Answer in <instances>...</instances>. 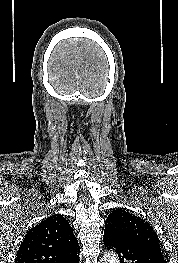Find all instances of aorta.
<instances>
[{
	"label": "aorta",
	"instance_id": "obj_1",
	"mask_svg": "<svg viewBox=\"0 0 178 263\" xmlns=\"http://www.w3.org/2000/svg\"><path fill=\"white\" fill-rule=\"evenodd\" d=\"M101 263H119V258L113 251L106 252L101 259Z\"/></svg>",
	"mask_w": 178,
	"mask_h": 263
}]
</instances>
